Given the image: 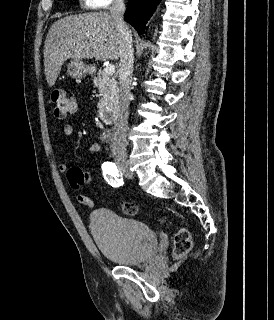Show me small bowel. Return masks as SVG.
<instances>
[{
    "instance_id": "small-bowel-1",
    "label": "small bowel",
    "mask_w": 274,
    "mask_h": 320,
    "mask_svg": "<svg viewBox=\"0 0 274 320\" xmlns=\"http://www.w3.org/2000/svg\"><path fill=\"white\" fill-rule=\"evenodd\" d=\"M74 105H75V108H76V104H74ZM74 128H75V122L66 123L63 126V130H62L63 135L65 137H70L74 132ZM87 150H88V152H99V151L102 150V147L99 144H93V145H90ZM58 170L61 173H65V172H68L69 169H68L67 164L60 163L58 165ZM77 201L79 203L85 205L86 207L90 208V209H92L94 207V202L89 197H87L85 195H78L77 196Z\"/></svg>"
}]
</instances>
